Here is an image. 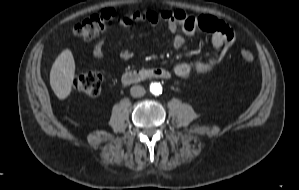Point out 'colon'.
<instances>
[{
  "mask_svg": "<svg viewBox=\"0 0 299 190\" xmlns=\"http://www.w3.org/2000/svg\"><path fill=\"white\" fill-rule=\"evenodd\" d=\"M116 15V11L113 9H103L78 23L74 27V35L83 39L93 38L108 28L116 18ZM206 23L207 19L201 16L199 25L203 27ZM241 55L243 60L247 62L253 60V54L248 49L243 50ZM103 79L104 77L100 72H86L74 78L73 86L88 96H97L101 91Z\"/></svg>",
  "mask_w": 299,
  "mask_h": 190,
  "instance_id": "5ec220e1",
  "label": "colon"
}]
</instances>
